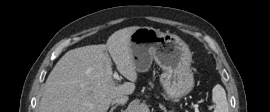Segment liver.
I'll return each mask as SVG.
<instances>
[{
  "mask_svg": "<svg viewBox=\"0 0 270 112\" xmlns=\"http://www.w3.org/2000/svg\"><path fill=\"white\" fill-rule=\"evenodd\" d=\"M139 27L114 32L106 44L88 45L64 54L50 72L39 112H107L116 96L135 90L137 71L130 38ZM112 57L117 70L130 82L117 84L112 79Z\"/></svg>",
  "mask_w": 270,
  "mask_h": 112,
  "instance_id": "1",
  "label": "liver"
}]
</instances>
